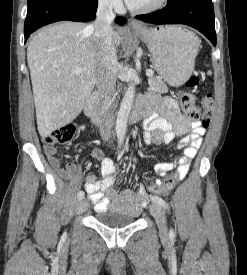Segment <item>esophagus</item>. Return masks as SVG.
Here are the masks:
<instances>
[{"label": "esophagus", "mask_w": 247, "mask_h": 275, "mask_svg": "<svg viewBox=\"0 0 247 275\" xmlns=\"http://www.w3.org/2000/svg\"><path fill=\"white\" fill-rule=\"evenodd\" d=\"M129 25L131 27H138V28L143 27V25L140 22H138V21H136L134 19H130L129 20Z\"/></svg>", "instance_id": "obj_1"}]
</instances>
